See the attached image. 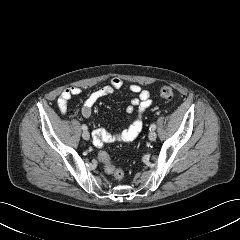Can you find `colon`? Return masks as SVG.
<instances>
[{
  "label": "colon",
  "instance_id": "colon-1",
  "mask_svg": "<svg viewBox=\"0 0 240 240\" xmlns=\"http://www.w3.org/2000/svg\"><path fill=\"white\" fill-rule=\"evenodd\" d=\"M159 94L163 99L170 100L173 97V90L169 86H163L160 89ZM98 160L108 174L112 175L116 180L123 179L124 172L112 163L111 158L107 152H100L98 154Z\"/></svg>",
  "mask_w": 240,
  "mask_h": 240
}]
</instances>
